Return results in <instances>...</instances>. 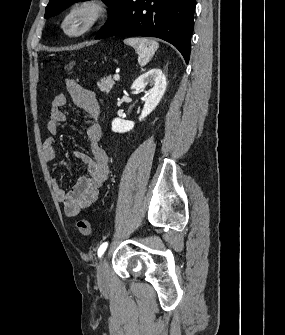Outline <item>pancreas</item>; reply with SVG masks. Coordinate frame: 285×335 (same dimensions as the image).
Segmentation results:
<instances>
[{"instance_id":"cf45deb5","label":"pancreas","mask_w":285,"mask_h":335,"mask_svg":"<svg viewBox=\"0 0 285 335\" xmlns=\"http://www.w3.org/2000/svg\"><path fill=\"white\" fill-rule=\"evenodd\" d=\"M115 82L112 80L111 76H105V78H101L99 82H97L98 88H100L101 92H110L111 88H113Z\"/></svg>"}]
</instances>
